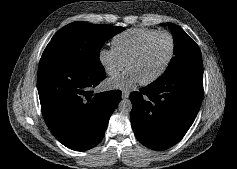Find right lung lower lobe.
<instances>
[{
  "mask_svg": "<svg viewBox=\"0 0 237 169\" xmlns=\"http://www.w3.org/2000/svg\"><path fill=\"white\" fill-rule=\"evenodd\" d=\"M105 77L103 67L39 64L37 84L43 117L52 134L69 149L85 151L102 140L121 100L119 90L92 94L90 88Z\"/></svg>",
  "mask_w": 237,
  "mask_h": 169,
  "instance_id": "1",
  "label": "right lung lower lobe"
}]
</instances>
